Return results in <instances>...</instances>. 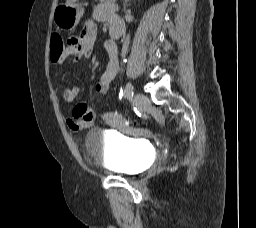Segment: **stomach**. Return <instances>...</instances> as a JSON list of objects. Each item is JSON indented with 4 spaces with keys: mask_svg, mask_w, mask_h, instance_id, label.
Returning a JSON list of instances; mask_svg holds the SVG:
<instances>
[{
    "mask_svg": "<svg viewBox=\"0 0 256 228\" xmlns=\"http://www.w3.org/2000/svg\"><path fill=\"white\" fill-rule=\"evenodd\" d=\"M83 12V7L79 3H76V1L66 3L58 6L54 10L53 20L58 28L62 30H72L78 25Z\"/></svg>",
    "mask_w": 256,
    "mask_h": 228,
    "instance_id": "1",
    "label": "stomach"
}]
</instances>
